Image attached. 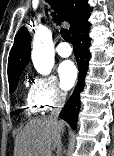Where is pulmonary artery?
Wrapping results in <instances>:
<instances>
[{
  "label": "pulmonary artery",
  "instance_id": "e3ab8cb5",
  "mask_svg": "<svg viewBox=\"0 0 114 156\" xmlns=\"http://www.w3.org/2000/svg\"><path fill=\"white\" fill-rule=\"evenodd\" d=\"M57 53L61 57H69L72 54V48L67 42H61L57 47Z\"/></svg>",
  "mask_w": 114,
  "mask_h": 156
}]
</instances>
